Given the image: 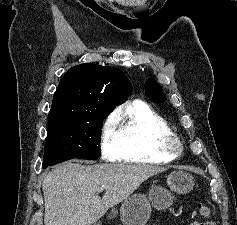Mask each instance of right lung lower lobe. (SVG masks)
Listing matches in <instances>:
<instances>
[{
    "instance_id": "98d812e1",
    "label": "right lung lower lobe",
    "mask_w": 237,
    "mask_h": 225,
    "mask_svg": "<svg viewBox=\"0 0 237 225\" xmlns=\"http://www.w3.org/2000/svg\"><path fill=\"white\" fill-rule=\"evenodd\" d=\"M75 157H70V156H48V157H43V169L55 165L57 163H61L63 161L73 159Z\"/></svg>"
}]
</instances>
